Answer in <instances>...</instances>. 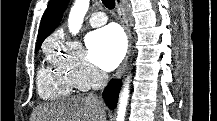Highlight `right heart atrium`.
<instances>
[{
	"instance_id": "obj_1",
	"label": "right heart atrium",
	"mask_w": 217,
	"mask_h": 121,
	"mask_svg": "<svg viewBox=\"0 0 217 121\" xmlns=\"http://www.w3.org/2000/svg\"><path fill=\"white\" fill-rule=\"evenodd\" d=\"M46 53L50 62L80 91L98 86L104 80V75L91 65L81 44L76 41L52 37L46 46Z\"/></svg>"
}]
</instances>
